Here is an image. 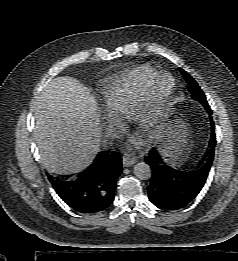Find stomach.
<instances>
[{
	"label": "stomach",
	"instance_id": "stomach-1",
	"mask_svg": "<svg viewBox=\"0 0 238 261\" xmlns=\"http://www.w3.org/2000/svg\"><path fill=\"white\" fill-rule=\"evenodd\" d=\"M155 139L162 143V153L172 162L178 161L188 144V129L176 113L161 122L154 131Z\"/></svg>",
	"mask_w": 238,
	"mask_h": 261
}]
</instances>
